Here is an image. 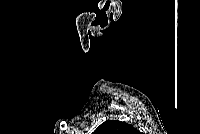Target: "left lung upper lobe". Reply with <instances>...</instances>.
Listing matches in <instances>:
<instances>
[{
	"label": "left lung upper lobe",
	"instance_id": "obj_1",
	"mask_svg": "<svg viewBox=\"0 0 200 134\" xmlns=\"http://www.w3.org/2000/svg\"><path fill=\"white\" fill-rule=\"evenodd\" d=\"M131 125L117 120H107L102 123L93 134H139Z\"/></svg>",
	"mask_w": 200,
	"mask_h": 134
}]
</instances>
